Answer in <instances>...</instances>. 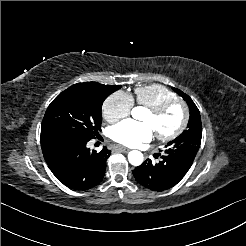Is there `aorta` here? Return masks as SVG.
Instances as JSON below:
<instances>
[{
	"instance_id": "aorta-1",
	"label": "aorta",
	"mask_w": 246,
	"mask_h": 246,
	"mask_svg": "<svg viewBox=\"0 0 246 246\" xmlns=\"http://www.w3.org/2000/svg\"><path fill=\"white\" fill-rule=\"evenodd\" d=\"M139 109H140L139 107L132 109L131 113H132L133 118H137ZM128 160L131 165L140 166L143 163V154L137 150L130 151L128 154Z\"/></svg>"
}]
</instances>
